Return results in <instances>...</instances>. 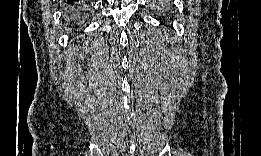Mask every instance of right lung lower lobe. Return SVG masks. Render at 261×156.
Instances as JSON below:
<instances>
[{
    "label": "right lung lower lobe",
    "instance_id": "98d812e1",
    "mask_svg": "<svg viewBox=\"0 0 261 156\" xmlns=\"http://www.w3.org/2000/svg\"><path fill=\"white\" fill-rule=\"evenodd\" d=\"M67 3L69 4L68 10L70 14L77 15L80 12L82 4H80L78 0L77 1L68 0Z\"/></svg>",
    "mask_w": 261,
    "mask_h": 156
}]
</instances>
